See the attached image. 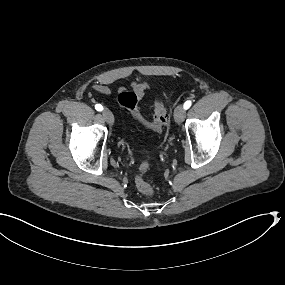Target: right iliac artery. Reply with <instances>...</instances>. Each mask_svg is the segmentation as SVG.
<instances>
[{
  "mask_svg": "<svg viewBox=\"0 0 285 285\" xmlns=\"http://www.w3.org/2000/svg\"><path fill=\"white\" fill-rule=\"evenodd\" d=\"M95 109H96L97 111H102V110H103V106H102L101 104H96V105H95Z\"/></svg>",
  "mask_w": 285,
  "mask_h": 285,
  "instance_id": "obj_1",
  "label": "right iliac artery"
}]
</instances>
